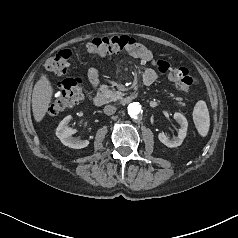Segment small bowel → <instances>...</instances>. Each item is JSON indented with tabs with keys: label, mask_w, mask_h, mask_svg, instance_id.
<instances>
[{
	"label": "small bowel",
	"mask_w": 238,
	"mask_h": 238,
	"mask_svg": "<svg viewBox=\"0 0 238 238\" xmlns=\"http://www.w3.org/2000/svg\"><path fill=\"white\" fill-rule=\"evenodd\" d=\"M129 55L133 58L140 59L142 62H150L152 53L145 52L144 48L141 46L136 51L130 52ZM158 78L157 72L152 68H146L141 76L142 83L144 85H151ZM88 81L92 87H96L99 84V69L94 67L88 71Z\"/></svg>",
	"instance_id": "obj_1"
}]
</instances>
